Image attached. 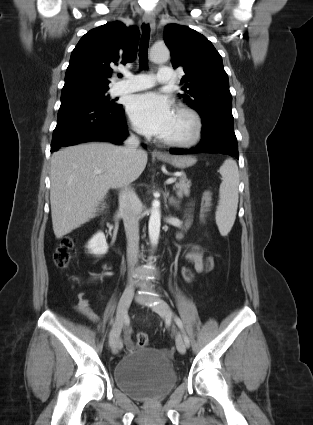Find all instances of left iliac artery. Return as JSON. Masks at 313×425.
Wrapping results in <instances>:
<instances>
[{
    "label": "left iliac artery",
    "mask_w": 313,
    "mask_h": 425,
    "mask_svg": "<svg viewBox=\"0 0 313 425\" xmlns=\"http://www.w3.org/2000/svg\"><path fill=\"white\" fill-rule=\"evenodd\" d=\"M175 321H176V324L178 325V327L180 328V330L182 332L183 339H184V342H185L186 346H190V340H189V338H188V336H187V334H186V332L184 330V326H183L182 321L177 316L175 317Z\"/></svg>",
    "instance_id": "1"
}]
</instances>
